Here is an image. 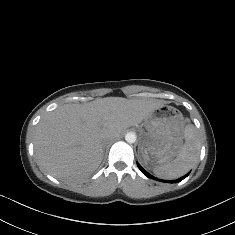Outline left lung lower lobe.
Instances as JSON below:
<instances>
[{
	"instance_id": "left-lung-lower-lobe-1",
	"label": "left lung lower lobe",
	"mask_w": 235,
	"mask_h": 235,
	"mask_svg": "<svg viewBox=\"0 0 235 235\" xmlns=\"http://www.w3.org/2000/svg\"><path fill=\"white\" fill-rule=\"evenodd\" d=\"M137 165H138L139 169L141 170V172H142L145 176H147L148 178H153V177L151 176V174H149L147 171H145V170L141 167L140 164L137 163ZM188 175H189V173H187L185 176H183V177L177 179L176 182L182 181V180H183L184 178H186ZM160 181H162V182H167V181H165V180H160ZM168 182H169V183H173L174 181L172 180V181H168Z\"/></svg>"
}]
</instances>
